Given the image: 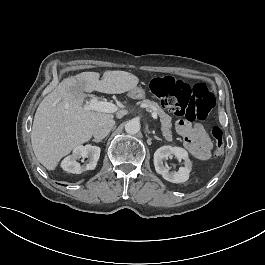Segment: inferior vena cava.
Listing matches in <instances>:
<instances>
[{"instance_id": "1", "label": "inferior vena cava", "mask_w": 265, "mask_h": 265, "mask_svg": "<svg viewBox=\"0 0 265 265\" xmlns=\"http://www.w3.org/2000/svg\"><path fill=\"white\" fill-rule=\"evenodd\" d=\"M115 125L113 119H107L100 121L93 129V136L96 139L105 138Z\"/></svg>"}]
</instances>
